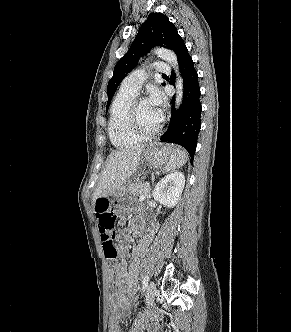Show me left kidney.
<instances>
[{"instance_id":"left-kidney-1","label":"left kidney","mask_w":291,"mask_h":332,"mask_svg":"<svg viewBox=\"0 0 291 332\" xmlns=\"http://www.w3.org/2000/svg\"><path fill=\"white\" fill-rule=\"evenodd\" d=\"M184 185V174L172 172L157 183L153 191V198L168 208H172L180 199Z\"/></svg>"}]
</instances>
